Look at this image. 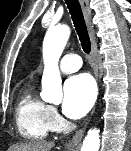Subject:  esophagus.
I'll use <instances>...</instances> for the list:
<instances>
[{"mask_svg":"<svg viewBox=\"0 0 131 151\" xmlns=\"http://www.w3.org/2000/svg\"><path fill=\"white\" fill-rule=\"evenodd\" d=\"M82 11L84 14L86 26L88 29L90 41H91V65L93 68L94 76L96 80L98 81V58H97V43L95 39V32H94V27L91 21V10L89 8V0H79ZM84 130L85 127L81 128L76 132V134L73 136V138L69 141V146H77L84 135Z\"/></svg>","mask_w":131,"mask_h":151,"instance_id":"34e87169","label":"esophagus"}]
</instances>
